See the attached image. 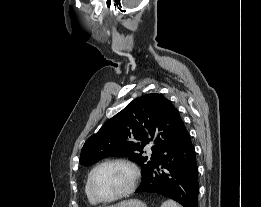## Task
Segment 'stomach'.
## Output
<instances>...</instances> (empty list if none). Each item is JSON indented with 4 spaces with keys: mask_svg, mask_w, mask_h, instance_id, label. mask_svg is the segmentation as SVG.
Here are the masks:
<instances>
[{
    "mask_svg": "<svg viewBox=\"0 0 261 207\" xmlns=\"http://www.w3.org/2000/svg\"><path fill=\"white\" fill-rule=\"evenodd\" d=\"M108 207H147V205L140 200L129 199Z\"/></svg>",
    "mask_w": 261,
    "mask_h": 207,
    "instance_id": "0dacf381",
    "label": "stomach"
}]
</instances>
